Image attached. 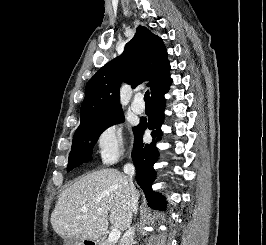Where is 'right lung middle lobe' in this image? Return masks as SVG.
Wrapping results in <instances>:
<instances>
[{
  "label": "right lung middle lobe",
  "mask_w": 266,
  "mask_h": 245,
  "mask_svg": "<svg viewBox=\"0 0 266 245\" xmlns=\"http://www.w3.org/2000/svg\"><path fill=\"white\" fill-rule=\"evenodd\" d=\"M121 122H124L122 111L80 122L73 137L67 171L89 161L101 133Z\"/></svg>",
  "instance_id": "1"
}]
</instances>
